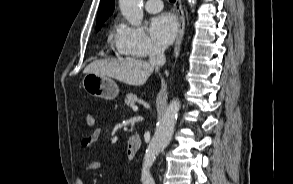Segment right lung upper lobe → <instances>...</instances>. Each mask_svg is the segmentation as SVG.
<instances>
[{
    "label": "right lung upper lobe",
    "mask_w": 293,
    "mask_h": 184,
    "mask_svg": "<svg viewBox=\"0 0 293 184\" xmlns=\"http://www.w3.org/2000/svg\"><path fill=\"white\" fill-rule=\"evenodd\" d=\"M114 0H101L98 9L97 25H102L104 21L113 13Z\"/></svg>",
    "instance_id": "cb5924a9"
}]
</instances>
